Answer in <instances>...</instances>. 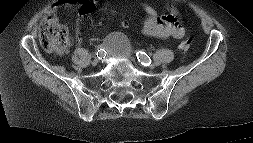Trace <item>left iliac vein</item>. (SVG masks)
Instances as JSON below:
<instances>
[{"instance_id":"left-iliac-vein-1","label":"left iliac vein","mask_w":253,"mask_h":143,"mask_svg":"<svg viewBox=\"0 0 253 143\" xmlns=\"http://www.w3.org/2000/svg\"><path fill=\"white\" fill-rule=\"evenodd\" d=\"M149 67H150V68H154V64H150Z\"/></svg>"}]
</instances>
